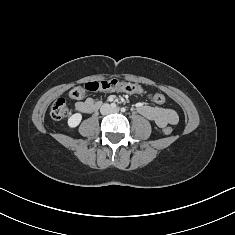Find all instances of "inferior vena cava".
<instances>
[{
	"label": "inferior vena cava",
	"instance_id": "602c4592",
	"mask_svg": "<svg viewBox=\"0 0 235 235\" xmlns=\"http://www.w3.org/2000/svg\"><path fill=\"white\" fill-rule=\"evenodd\" d=\"M101 113H102V114H105V113H106L105 111H103V108H101Z\"/></svg>",
	"mask_w": 235,
	"mask_h": 235
}]
</instances>
